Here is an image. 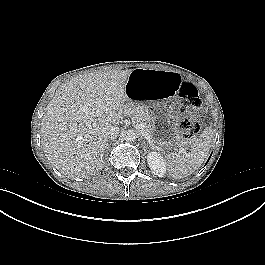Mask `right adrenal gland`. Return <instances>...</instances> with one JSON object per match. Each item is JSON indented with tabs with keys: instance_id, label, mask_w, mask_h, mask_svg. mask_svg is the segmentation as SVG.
Segmentation results:
<instances>
[{
	"instance_id": "obj_1",
	"label": "right adrenal gland",
	"mask_w": 265,
	"mask_h": 265,
	"mask_svg": "<svg viewBox=\"0 0 265 265\" xmlns=\"http://www.w3.org/2000/svg\"><path fill=\"white\" fill-rule=\"evenodd\" d=\"M105 145H106V148H108V143H105Z\"/></svg>"
}]
</instances>
